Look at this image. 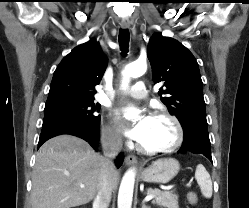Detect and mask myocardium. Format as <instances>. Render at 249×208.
Returning a JSON list of instances; mask_svg holds the SVG:
<instances>
[{
    "mask_svg": "<svg viewBox=\"0 0 249 208\" xmlns=\"http://www.w3.org/2000/svg\"><path fill=\"white\" fill-rule=\"evenodd\" d=\"M152 117H164L170 120L176 129V140L173 144L164 148H147L142 146L141 144H138L137 145L138 150L146 154H163V153L172 152L176 150L178 147H180L184 140V129L180 120L173 114L169 113L168 111L159 110V109L155 110L152 113Z\"/></svg>",
    "mask_w": 249,
    "mask_h": 208,
    "instance_id": "myocardium-1",
    "label": "myocardium"
}]
</instances>
